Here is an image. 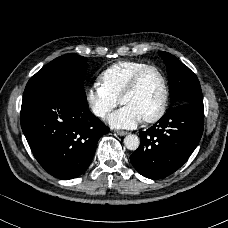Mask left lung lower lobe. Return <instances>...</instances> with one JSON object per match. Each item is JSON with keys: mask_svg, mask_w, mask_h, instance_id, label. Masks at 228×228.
Here are the masks:
<instances>
[{"mask_svg": "<svg viewBox=\"0 0 228 228\" xmlns=\"http://www.w3.org/2000/svg\"><path fill=\"white\" fill-rule=\"evenodd\" d=\"M203 127V103H186L170 108L157 124L140 132V146L130 156L133 167L146 178L169 176L195 150Z\"/></svg>", "mask_w": 228, "mask_h": 228, "instance_id": "left-lung-lower-lobe-1", "label": "left lung lower lobe"}]
</instances>
